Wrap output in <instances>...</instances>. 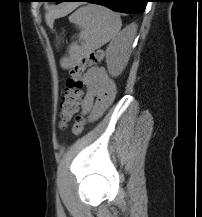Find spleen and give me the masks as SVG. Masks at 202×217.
I'll use <instances>...</instances> for the list:
<instances>
[{
    "label": "spleen",
    "instance_id": "obj_1",
    "mask_svg": "<svg viewBox=\"0 0 202 217\" xmlns=\"http://www.w3.org/2000/svg\"><path fill=\"white\" fill-rule=\"evenodd\" d=\"M69 21L80 29L79 40L69 46L70 58L76 59L101 47L114 38L121 29L122 21L120 15L114 11L101 6L91 4L77 9L70 15ZM133 39L136 28L129 29Z\"/></svg>",
    "mask_w": 202,
    "mask_h": 217
}]
</instances>
